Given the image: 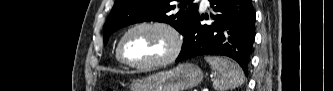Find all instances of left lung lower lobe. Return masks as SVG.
I'll use <instances>...</instances> for the list:
<instances>
[{"label": "left lung lower lobe", "mask_w": 333, "mask_h": 91, "mask_svg": "<svg viewBox=\"0 0 333 91\" xmlns=\"http://www.w3.org/2000/svg\"><path fill=\"white\" fill-rule=\"evenodd\" d=\"M216 15L212 24L201 25L197 12L183 34L182 50L176 62L198 55H224L236 60L247 74L255 38V11L251 0H209ZM208 19V16L206 17Z\"/></svg>", "instance_id": "0a47b994"}]
</instances>
